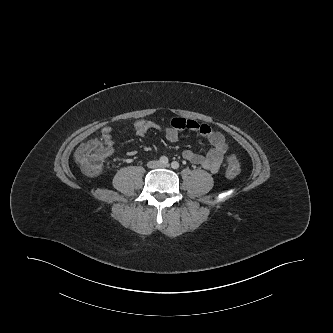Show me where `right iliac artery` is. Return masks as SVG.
<instances>
[{"mask_svg":"<svg viewBox=\"0 0 333 333\" xmlns=\"http://www.w3.org/2000/svg\"><path fill=\"white\" fill-rule=\"evenodd\" d=\"M159 162L163 165H166V164H168L169 160L166 156H162V157H160Z\"/></svg>","mask_w":333,"mask_h":333,"instance_id":"82829eb1","label":"right iliac artery"}]
</instances>
